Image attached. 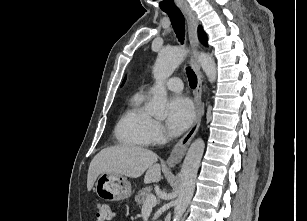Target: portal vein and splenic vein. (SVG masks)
Segmentation results:
<instances>
[{"mask_svg": "<svg viewBox=\"0 0 307 221\" xmlns=\"http://www.w3.org/2000/svg\"><path fill=\"white\" fill-rule=\"evenodd\" d=\"M157 204V199L154 195H149L143 203V208L153 207Z\"/></svg>", "mask_w": 307, "mask_h": 221, "instance_id": "18ae733b", "label": "portal vein and splenic vein"}]
</instances>
